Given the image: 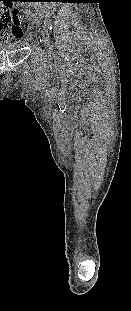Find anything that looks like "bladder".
Masks as SVG:
<instances>
[{"mask_svg":"<svg viewBox=\"0 0 131 311\" xmlns=\"http://www.w3.org/2000/svg\"><path fill=\"white\" fill-rule=\"evenodd\" d=\"M25 42H11V43H0V51H14L18 50Z\"/></svg>","mask_w":131,"mask_h":311,"instance_id":"bladder-1","label":"bladder"}]
</instances>
